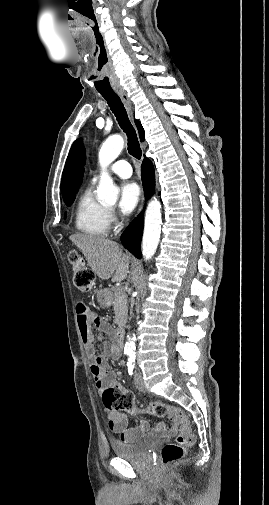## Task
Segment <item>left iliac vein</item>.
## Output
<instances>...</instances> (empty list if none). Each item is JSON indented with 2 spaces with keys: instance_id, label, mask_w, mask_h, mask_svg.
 Segmentation results:
<instances>
[{
  "instance_id": "4c4485c4",
  "label": "left iliac vein",
  "mask_w": 269,
  "mask_h": 505,
  "mask_svg": "<svg viewBox=\"0 0 269 505\" xmlns=\"http://www.w3.org/2000/svg\"><path fill=\"white\" fill-rule=\"evenodd\" d=\"M134 384L139 391H144L145 389L144 382L142 379V375L138 369H136L134 372Z\"/></svg>"
}]
</instances>
